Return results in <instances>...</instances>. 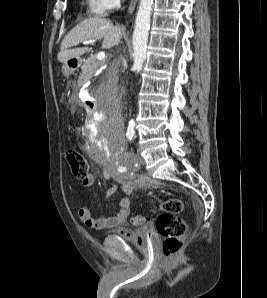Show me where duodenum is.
Returning a JSON list of instances; mask_svg holds the SVG:
<instances>
[{"label": "duodenum", "mask_w": 267, "mask_h": 298, "mask_svg": "<svg viewBox=\"0 0 267 298\" xmlns=\"http://www.w3.org/2000/svg\"><path fill=\"white\" fill-rule=\"evenodd\" d=\"M96 102H98V93H91L90 100H84L86 115H96Z\"/></svg>", "instance_id": "410a0bca"}]
</instances>
